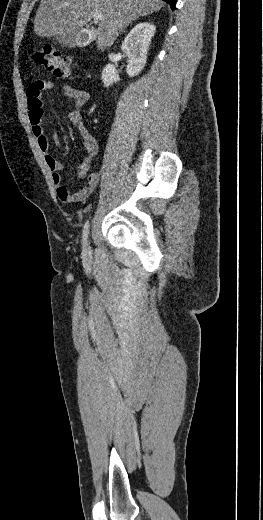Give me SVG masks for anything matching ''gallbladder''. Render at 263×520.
I'll return each mask as SVG.
<instances>
[{"instance_id": "obj_1", "label": "gallbladder", "mask_w": 263, "mask_h": 520, "mask_svg": "<svg viewBox=\"0 0 263 520\" xmlns=\"http://www.w3.org/2000/svg\"><path fill=\"white\" fill-rule=\"evenodd\" d=\"M80 32H81V30L76 31L73 34L57 35V36H55V40L57 41V43L63 45L64 47L74 48V47L80 46V43H79Z\"/></svg>"}]
</instances>
